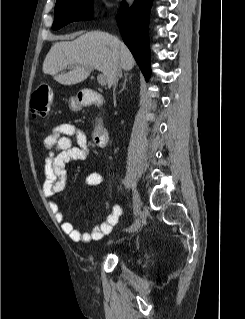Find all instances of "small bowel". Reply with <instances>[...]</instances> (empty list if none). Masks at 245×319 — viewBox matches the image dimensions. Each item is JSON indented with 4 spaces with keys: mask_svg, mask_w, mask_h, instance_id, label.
<instances>
[{
    "mask_svg": "<svg viewBox=\"0 0 245 319\" xmlns=\"http://www.w3.org/2000/svg\"><path fill=\"white\" fill-rule=\"evenodd\" d=\"M73 141L76 143L73 145ZM47 149L44 165L45 180L42 184V193L46 198L62 192L66 186V164L71 161H84L89 156L87 133L72 124H60L51 129L44 139ZM103 177L100 173L92 172L83 179V185L93 187L101 184ZM49 207L55 219L61 224L65 234L73 242L90 243L102 239L110 233L118 222L122 208L116 205L105 220L93 227L91 232H81L72 222L67 221L64 213L55 201L49 202Z\"/></svg>",
    "mask_w": 245,
    "mask_h": 319,
    "instance_id": "small-bowel-1",
    "label": "small bowel"
}]
</instances>
